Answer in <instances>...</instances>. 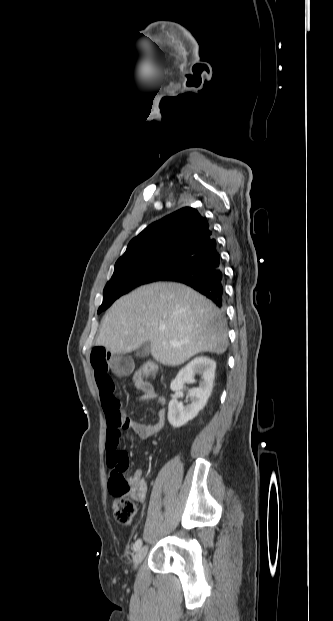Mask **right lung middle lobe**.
Here are the masks:
<instances>
[{
  "label": "right lung middle lobe",
  "mask_w": 333,
  "mask_h": 621,
  "mask_svg": "<svg viewBox=\"0 0 333 621\" xmlns=\"http://www.w3.org/2000/svg\"><path fill=\"white\" fill-rule=\"evenodd\" d=\"M185 258L160 257L134 262L116 263L111 280L103 291L98 313L106 310L120 296L137 286L163 280L183 263Z\"/></svg>",
  "instance_id": "right-lung-middle-lobe-1"
}]
</instances>
